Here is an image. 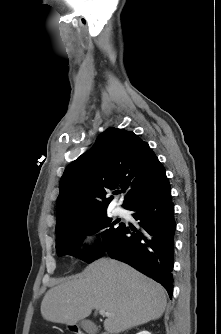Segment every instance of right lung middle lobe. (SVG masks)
<instances>
[{"mask_svg": "<svg viewBox=\"0 0 221 334\" xmlns=\"http://www.w3.org/2000/svg\"><path fill=\"white\" fill-rule=\"evenodd\" d=\"M116 223L112 222V219L108 218L106 214L93 218L90 221L76 224L68 227L62 234L56 237V251L59 256L66 254L77 255L78 245L81 243L85 235L94 234L102 229L103 243L98 244L99 248L96 254H88L87 256H80L86 262L90 263L95 259L100 258L106 249H108L118 238L121 230L124 228V224H120L118 227H114Z\"/></svg>", "mask_w": 221, "mask_h": 334, "instance_id": "obj_1", "label": "right lung middle lobe"}]
</instances>
